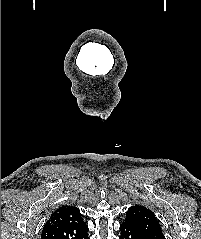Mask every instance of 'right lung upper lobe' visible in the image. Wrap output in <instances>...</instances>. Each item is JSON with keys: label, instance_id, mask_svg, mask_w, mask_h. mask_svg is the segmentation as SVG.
Listing matches in <instances>:
<instances>
[{"label": "right lung upper lobe", "instance_id": "cb5924a9", "mask_svg": "<svg viewBox=\"0 0 201 239\" xmlns=\"http://www.w3.org/2000/svg\"><path fill=\"white\" fill-rule=\"evenodd\" d=\"M88 226L80 210L73 206L58 208L44 225L41 239H85Z\"/></svg>", "mask_w": 201, "mask_h": 239}]
</instances>
